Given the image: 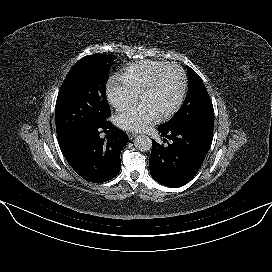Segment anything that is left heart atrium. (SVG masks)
I'll use <instances>...</instances> for the list:
<instances>
[{"label": "left heart atrium", "instance_id": "39dd6f15", "mask_svg": "<svg viewBox=\"0 0 272 272\" xmlns=\"http://www.w3.org/2000/svg\"><path fill=\"white\" fill-rule=\"evenodd\" d=\"M158 118V113L150 105L141 102L119 113L115 121L123 130L140 132L154 124Z\"/></svg>", "mask_w": 272, "mask_h": 272}]
</instances>
